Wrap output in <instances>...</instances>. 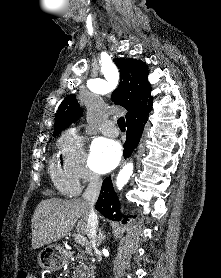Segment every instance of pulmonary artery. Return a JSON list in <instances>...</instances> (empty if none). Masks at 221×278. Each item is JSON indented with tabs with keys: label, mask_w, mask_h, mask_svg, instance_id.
Listing matches in <instances>:
<instances>
[{
	"label": "pulmonary artery",
	"mask_w": 221,
	"mask_h": 278,
	"mask_svg": "<svg viewBox=\"0 0 221 278\" xmlns=\"http://www.w3.org/2000/svg\"><path fill=\"white\" fill-rule=\"evenodd\" d=\"M102 132L105 135L112 137H116L119 134V130L113 122L106 123L102 128Z\"/></svg>",
	"instance_id": "pulmonary-artery-1"
}]
</instances>
